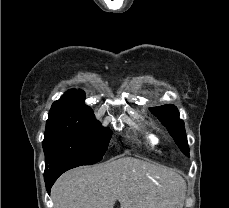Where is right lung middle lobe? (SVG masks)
Returning <instances> with one entry per match:
<instances>
[{"label": "right lung middle lobe", "mask_w": 229, "mask_h": 208, "mask_svg": "<svg viewBox=\"0 0 229 208\" xmlns=\"http://www.w3.org/2000/svg\"><path fill=\"white\" fill-rule=\"evenodd\" d=\"M112 132L94 118L51 109L44 140L45 172L62 165H90L105 154Z\"/></svg>", "instance_id": "dd1d6c3e"}]
</instances>
